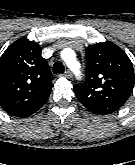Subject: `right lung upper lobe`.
Here are the masks:
<instances>
[{"instance_id": "cb5924a9", "label": "right lung upper lobe", "mask_w": 135, "mask_h": 165, "mask_svg": "<svg viewBox=\"0 0 135 165\" xmlns=\"http://www.w3.org/2000/svg\"><path fill=\"white\" fill-rule=\"evenodd\" d=\"M53 75L41 48L20 38L0 57V105L8 114L27 117L47 101Z\"/></svg>"}]
</instances>
